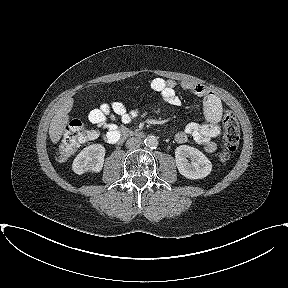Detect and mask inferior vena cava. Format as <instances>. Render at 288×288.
Masks as SVG:
<instances>
[{
    "mask_svg": "<svg viewBox=\"0 0 288 288\" xmlns=\"http://www.w3.org/2000/svg\"><path fill=\"white\" fill-rule=\"evenodd\" d=\"M142 144V140L139 137H130L126 141V147L129 149H135L140 147Z\"/></svg>",
    "mask_w": 288,
    "mask_h": 288,
    "instance_id": "1",
    "label": "inferior vena cava"
}]
</instances>
